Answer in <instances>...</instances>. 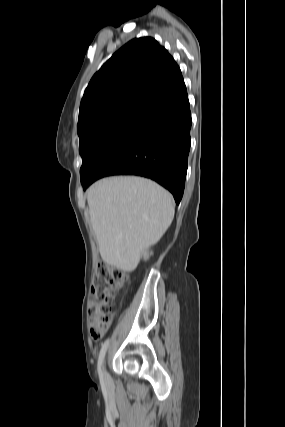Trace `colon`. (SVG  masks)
<instances>
[{
	"instance_id": "obj_1",
	"label": "colon",
	"mask_w": 285,
	"mask_h": 427,
	"mask_svg": "<svg viewBox=\"0 0 285 427\" xmlns=\"http://www.w3.org/2000/svg\"><path fill=\"white\" fill-rule=\"evenodd\" d=\"M126 279V274L117 268L106 264H99L96 268L91 290L93 304L89 316L90 333L94 339L101 338L109 329L112 319L110 300Z\"/></svg>"
}]
</instances>
